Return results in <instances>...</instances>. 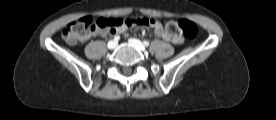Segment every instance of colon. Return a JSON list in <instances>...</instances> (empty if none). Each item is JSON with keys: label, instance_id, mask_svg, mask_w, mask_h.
Masks as SVG:
<instances>
[{"label": "colon", "instance_id": "obj_1", "mask_svg": "<svg viewBox=\"0 0 276 120\" xmlns=\"http://www.w3.org/2000/svg\"><path fill=\"white\" fill-rule=\"evenodd\" d=\"M151 18H132L124 21L112 18H92L84 17L76 20L66 26L62 32L63 39L69 44H75L83 40L90 34L98 32L117 31L122 27L130 26H151ZM165 32L170 36L184 35L186 38L193 40L198 35L197 25L187 19L179 21H170L165 26Z\"/></svg>", "mask_w": 276, "mask_h": 120}]
</instances>
